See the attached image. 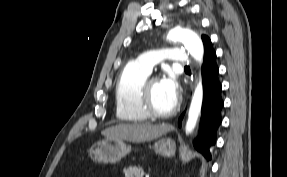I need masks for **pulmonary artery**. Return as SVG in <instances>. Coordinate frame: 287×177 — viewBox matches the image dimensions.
Wrapping results in <instances>:
<instances>
[{
    "label": "pulmonary artery",
    "instance_id": "pulmonary-artery-1",
    "mask_svg": "<svg viewBox=\"0 0 287 177\" xmlns=\"http://www.w3.org/2000/svg\"><path fill=\"white\" fill-rule=\"evenodd\" d=\"M162 60H168L174 65L184 67H188L192 64V59L187 55L185 50L177 47L148 50L133 59L132 62L151 73L153 67Z\"/></svg>",
    "mask_w": 287,
    "mask_h": 177
}]
</instances>
